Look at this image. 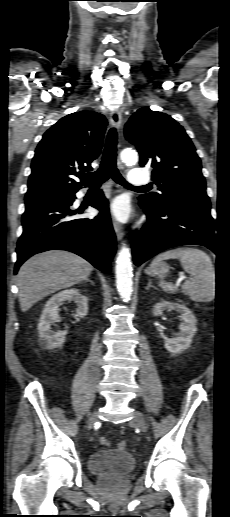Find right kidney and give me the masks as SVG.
Wrapping results in <instances>:
<instances>
[{"instance_id":"obj_1","label":"right kidney","mask_w":230,"mask_h":517,"mask_svg":"<svg viewBox=\"0 0 230 517\" xmlns=\"http://www.w3.org/2000/svg\"><path fill=\"white\" fill-rule=\"evenodd\" d=\"M64 301L75 302L77 317L83 318L88 313V298L78 289L64 290L53 295L47 301L38 324L39 344L45 349L61 347L65 342L67 330L57 332L51 330V325L60 321L59 307Z\"/></svg>"}]
</instances>
